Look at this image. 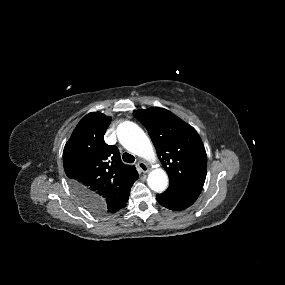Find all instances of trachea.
<instances>
[{
	"mask_svg": "<svg viewBox=\"0 0 285 285\" xmlns=\"http://www.w3.org/2000/svg\"><path fill=\"white\" fill-rule=\"evenodd\" d=\"M122 158H123V161L127 163H132L135 161V157L129 153H124Z\"/></svg>",
	"mask_w": 285,
	"mask_h": 285,
	"instance_id": "1",
	"label": "trachea"
}]
</instances>
